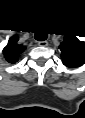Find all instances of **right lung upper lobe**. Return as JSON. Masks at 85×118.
I'll use <instances>...</instances> for the list:
<instances>
[{
    "instance_id": "cb5924a9",
    "label": "right lung upper lobe",
    "mask_w": 85,
    "mask_h": 118,
    "mask_svg": "<svg viewBox=\"0 0 85 118\" xmlns=\"http://www.w3.org/2000/svg\"><path fill=\"white\" fill-rule=\"evenodd\" d=\"M20 50L22 48H15V47H9L8 48V56L11 58V62H15L18 58L17 55L19 54Z\"/></svg>"
}]
</instances>
